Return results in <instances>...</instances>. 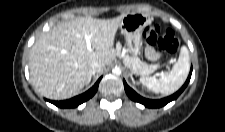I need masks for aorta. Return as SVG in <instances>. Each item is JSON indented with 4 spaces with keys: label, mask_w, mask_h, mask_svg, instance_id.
Wrapping results in <instances>:
<instances>
[{
    "label": "aorta",
    "mask_w": 225,
    "mask_h": 132,
    "mask_svg": "<svg viewBox=\"0 0 225 132\" xmlns=\"http://www.w3.org/2000/svg\"><path fill=\"white\" fill-rule=\"evenodd\" d=\"M113 73L116 74V75H120L121 74L120 68L113 69Z\"/></svg>",
    "instance_id": "obj_1"
}]
</instances>
